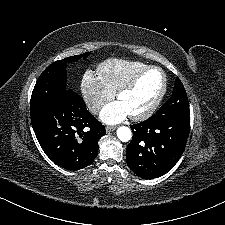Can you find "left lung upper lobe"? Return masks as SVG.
<instances>
[{
  "instance_id": "left-lung-upper-lobe-1",
  "label": "left lung upper lobe",
  "mask_w": 225,
  "mask_h": 225,
  "mask_svg": "<svg viewBox=\"0 0 225 225\" xmlns=\"http://www.w3.org/2000/svg\"><path fill=\"white\" fill-rule=\"evenodd\" d=\"M189 112V102L186 91L180 79L176 78L172 96L159 109L156 115H173Z\"/></svg>"
}]
</instances>
